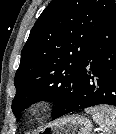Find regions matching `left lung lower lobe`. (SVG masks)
Returning <instances> with one entry per match:
<instances>
[{"label": "left lung lower lobe", "mask_w": 116, "mask_h": 134, "mask_svg": "<svg viewBox=\"0 0 116 134\" xmlns=\"http://www.w3.org/2000/svg\"><path fill=\"white\" fill-rule=\"evenodd\" d=\"M100 104L116 106V4L89 45L74 96L53 119Z\"/></svg>", "instance_id": "0a47b994"}]
</instances>
